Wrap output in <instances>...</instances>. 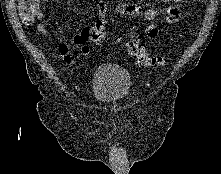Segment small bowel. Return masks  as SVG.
Returning <instances> with one entry per match:
<instances>
[{
    "label": "small bowel",
    "mask_w": 221,
    "mask_h": 174,
    "mask_svg": "<svg viewBox=\"0 0 221 174\" xmlns=\"http://www.w3.org/2000/svg\"><path fill=\"white\" fill-rule=\"evenodd\" d=\"M168 1H170L173 5L166 8L165 22L172 24L175 23L179 18V11L176 5L184 2L185 0H168ZM108 6L109 5L102 0H100L97 3L96 9H97L98 18L104 17ZM112 7L117 13H120L122 15L143 16L148 22L147 26L144 29L145 35L149 39H153L157 36L158 28L156 23L158 21L159 16L158 12L155 9L143 10L142 6L139 3H119L113 5ZM38 17L42 19L40 13L38 14ZM37 29L42 35H44L51 41L58 43L59 53L66 63L72 64L75 61L76 57L70 53L68 44L63 41H59L58 38L51 32L49 27L44 22H39L37 24ZM81 32L73 37L72 42L74 46L78 48V55H86L88 54L89 51L86 50L87 47L86 42L80 39Z\"/></svg>",
    "instance_id": "obj_1"
}]
</instances>
